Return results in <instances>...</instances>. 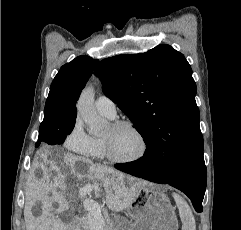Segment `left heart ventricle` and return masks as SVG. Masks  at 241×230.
<instances>
[{"label": "left heart ventricle", "instance_id": "1", "mask_svg": "<svg viewBox=\"0 0 241 230\" xmlns=\"http://www.w3.org/2000/svg\"><path fill=\"white\" fill-rule=\"evenodd\" d=\"M104 138L110 142L113 154L121 159L135 157L141 151V141L134 131L128 127L107 129Z\"/></svg>", "mask_w": 241, "mask_h": 230}]
</instances>
